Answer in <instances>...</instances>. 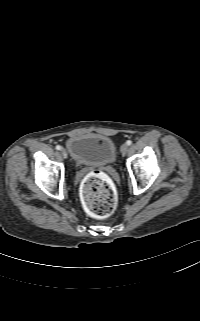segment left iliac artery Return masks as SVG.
<instances>
[{
	"mask_svg": "<svg viewBox=\"0 0 200 321\" xmlns=\"http://www.w3.org/2000/svg\"><path fill=\"white\" fill-rule=\"evenodd\" d=\"M126 144H127L128 146H130V145L132 144V141H131V140H128V141L126 142Z\"/></svg>",
	"mask_w": 200,
	"mask_h": 321,
	"instance_id": "left-iliac-artery-1",
	"label": "left iliac artery"
}]
</instances>
